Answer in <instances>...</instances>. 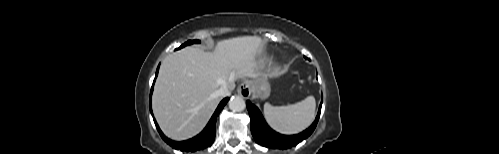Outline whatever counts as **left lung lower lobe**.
<instances>
[{"label": "left lung lower lobe", "mask_w": 499, "mask_h": 154, "mask_svg": "<svg viewBox=\"0 0 499 154\" xmlns=\"http://www.w3.org/2000/svg\"><path fill=\"white\" fill-rule=\"evenodd\" d=\"M246 105L251 118V133L255 141L258 144L269 148L288 149L290 147L296 146L299 142L303 141L312 134L320 117L322 101L316 119L312 123V125L300 134L292 136L282 135L272 130L267 125L261 112L254 104H252L250 101H247Z\"/></svg>", "instance_id": "left-lung-lower-lobe-1"}]
</instances>
